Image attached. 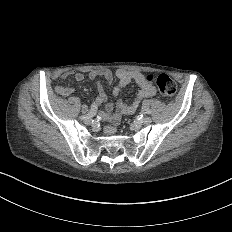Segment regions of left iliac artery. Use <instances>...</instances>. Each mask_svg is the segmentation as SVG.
<instances>
[{
  "label": "left iliac artery",
  "instance_id": "left-iliac-artery-1",
  "mask_svg": "<svg viewBox=\"0 0 232 232\" xmlns=\"http://www.w3.org/2000/svg\"><path fill=\"white\" fill-rule=\"evenodd\" d=\"M137 121H143L144 120V116L143 114H139L137 117H136Z\"/></svg>",
  "mask_w": 232,
  "mask_h": 232
}]
</instances>
